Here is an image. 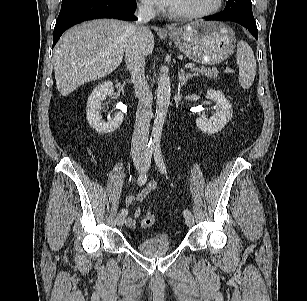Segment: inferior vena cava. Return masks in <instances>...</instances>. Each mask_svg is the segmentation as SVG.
Masks as SVG:
<instances>
[{
    "mask_svg": "<svg viewBox=\"0 0 307 301\" xmlns=\"http://www.w3.org/2000/svg\"><path fill=\"white\" fill-rule=\"evenodd\" d=\"M136 16L138 21L135 25L134 37L125 48V61L131 73L135 95L139 99L131 144L133 156L143 155L147 149L149 126L152 117L153 96L144 73V40L149 33V28L145 24L155 17L152 4L143 3L139 5Z\"/></svg>",
    "mask_w": 307,
    "mask_h": 301,
    "instance_id": "1",
    "label": "inferior vena cava"
}]
</instances>
